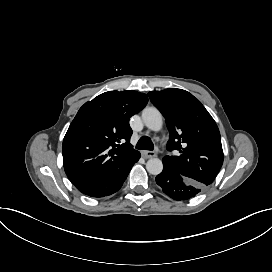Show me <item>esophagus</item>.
<instances>
[{
    "instance_id": "obj_1",
    "label": "esophagus",
    "mask_w": 272,
    "mask_h": 272,
    "mask_svg": "<svg viewBox=\"0 0 272 272\" xmlns=\"http://www.w3.org/2000/svg\"><path fill=\"white\" fill-rule=\"evenodd\" d=\"M141 155H142L144 158H152V157H155L157 154H156V152H154V151L143 150V151H141Z\"/></svg>"
}]
</instances>
